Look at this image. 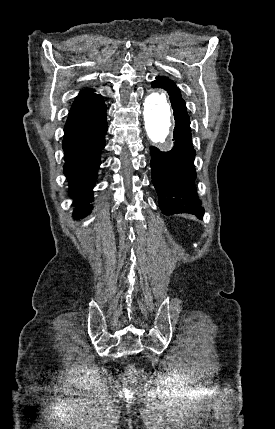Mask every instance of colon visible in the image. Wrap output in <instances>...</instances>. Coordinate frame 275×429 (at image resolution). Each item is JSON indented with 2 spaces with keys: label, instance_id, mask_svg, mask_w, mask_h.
<instances>
[{
  "label": "colon",
  "instance_id": "5ec220e1",
  "mask_svg": "<svg viewBox=\"0 0 275 429\" xmlns=\"http://www.w3.org/2000/svg\"><path fill=\"white\" fill-rule=\"evenodd\" d=\"M133 375H134L133 370H128V372H127V379H128V381H132L133 380Z\"/></svg>",
  "mask_w": 275,
  "mask_h": 429
}]
</instances>
